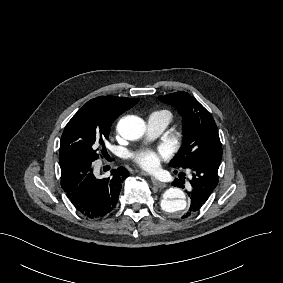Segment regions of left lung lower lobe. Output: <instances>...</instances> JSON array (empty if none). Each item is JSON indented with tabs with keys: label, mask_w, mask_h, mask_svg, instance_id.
Instances as JSON below:
<instances>
[{
	"label": "left lung lower lobe",
	"mask_w": 283,
	"mask_h": 283,
	"mask_svg": "<svg viewBox=\"0 0 283 283\" xmlns=\"http://www.w3.org/2000/svg\"><path fill=\"white\" fill-rule=\"evenodd\" d=\"M220 161L221 157L219 156H206L195 161L188 167L192 171V179L190 180L192 190L188 192L191 202L189 210L182 218H187L197 213L208 200L210 194L218 184Z\"/></svg>",
	"instance_id": "1"
}]
</instances>
